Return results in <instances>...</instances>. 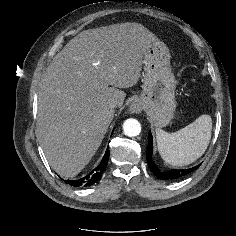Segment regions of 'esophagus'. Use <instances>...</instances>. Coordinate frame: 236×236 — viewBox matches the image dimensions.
Masks as SVG:
<instances>
[{
    "label": "esophagus",
    "mask_w": 236,
    "mask_h": 236,
    "mask_svg": "<svg viewBox=\"0 0 236 236\" xmlns=\"http://www.w3.org/2000/svg\"><path fill=\"white\" fill-rule=\"evenodd\" d=\"M129 111L131 113H140L142 111V105L139 101H135L132 103V105L129 108Z\"/></svg>",
    "instance_id": "34e87169"
}]
</instances>
